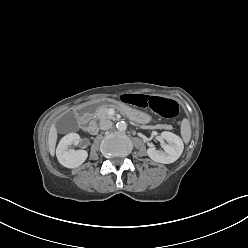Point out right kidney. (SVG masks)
<instances>
[{"mask_svg": "<svg viewBox=\"0 0 248 248\" xmlns=\"http://www.w3.org/2000/svg\"><path fill=\"white\" fill-rule=\"evenodd\" d=\"M79 141L80 136L77 133H69L60 140L56 149V156L59 163L64 167L76 168L87 159V151L68 148L73 143H78Z\"/></svg>", "mask_w": 248, "mask_h": 248, "instance_id": "right-kidney-1", "label": "right kidney"}]
</instances>
